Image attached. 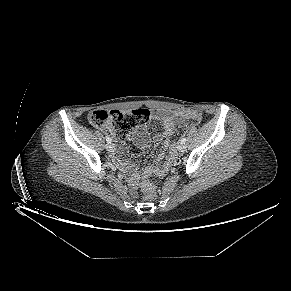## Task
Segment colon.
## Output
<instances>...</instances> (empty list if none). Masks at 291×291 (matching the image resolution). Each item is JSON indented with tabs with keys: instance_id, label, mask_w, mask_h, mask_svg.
<instances>
[{
	"instance_id": "obj_1",
	"label": "colon",
	"mask_w": 291,
	"mask_h": 291,
	"mask_svg": "<svg viewBox=\"0 0 291 291\" xmlns=\"http://www.w3.org/2000/svg\"><path fill=\"white\" fill-rule=\"evenodd\" d=\"M181 117L191 118L197 122L202 120L200 112L195 110H184L179 113ZM151 116L148 109H132L128 111L118 110H97L89 115L90 123L99 128H103L114 141H124L127 136L142 124H145ZM166 167L162 170L165 172ZM145 198L153 199L156 197L154 184L145 180L142 184Z\"/></svg>"
}]
</instances>
